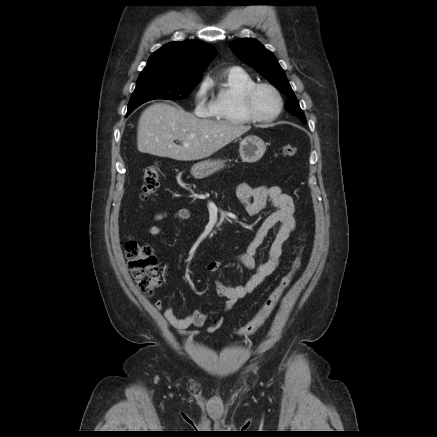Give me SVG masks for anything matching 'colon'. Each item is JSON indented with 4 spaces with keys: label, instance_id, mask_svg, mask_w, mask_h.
<instances>
[{
    "label": "colon",
    "instance_id": "5ec220e1",
    "mask_svg": "<svg viewBox=\"0 0 437 437\" xmlns=\"http://www.w3.org/2000/svg\"><path fill=\"white\" fill-rule=\"evenodd\" d=\"M282 153L286 157H293L297 153V148L292 145H285L282 148ZM159 174L160 168L158 163H153L145 167L142 174L140 193V197L143 201L150 199L158 189ZM125 256L138 288L145 295H152L154 290L161 283V272L151 248L148 245L138 242L134 238H129L125 243ZM301 264L302 249L297 253L289 272L281 279L279 285L271 292L253 318L247 324L236 330L238 336L247 337L264 324L290 286Z\"/></svg>",
    "mask_w": 437,
    "mask_h": 437
}]
</instances>
